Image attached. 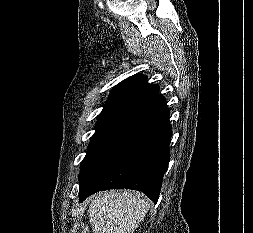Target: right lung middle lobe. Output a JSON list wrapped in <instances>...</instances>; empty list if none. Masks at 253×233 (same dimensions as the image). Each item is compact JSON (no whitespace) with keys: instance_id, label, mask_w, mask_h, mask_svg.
I'll use <instances>...</instances> for the list:
<instances>
[{"instance_id":"obj_1","label":"right lung middle lobe","mask_w":253,"mask_h":233,"mask_svg":"<svg viewBox=\"0 0 253 233\" xmlns=\"http://www.w3.org/2000/svg\"><path fill=\"white\" fill-rule=\"evenodd\" d=\"M136 104L129 102L107 103L96 123V132L88 146L83 162L99 147L112 130L128 115ZM81 164V165H82Z\"/></svg>"}]
</instances>
